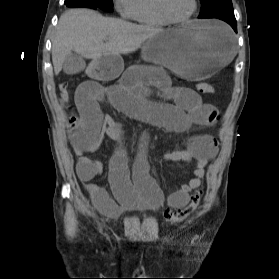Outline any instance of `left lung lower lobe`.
Returning <instances> with one entry per match:
<instances>
[{
    "mask_svg": "<svg viewBox=\"0 0 279 279\" xmlns=\"http://www.w3.org/2000/svg\"><path fill=\"white\" fill-rule=\"evenodd\" d=\"M216 18L221 19L225 22H227L237 33V23L234 14H226V15H220L217 16Z\"/></svg>",
    "mask_w": 279,
    "mask_h": 279,
    "instance_id": "left-lung-lower-lobe-1",
    "label": "left lung lower lobe"
}]
</instances>
